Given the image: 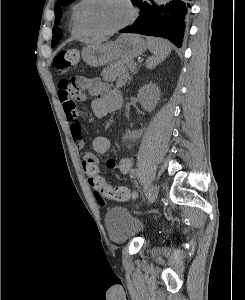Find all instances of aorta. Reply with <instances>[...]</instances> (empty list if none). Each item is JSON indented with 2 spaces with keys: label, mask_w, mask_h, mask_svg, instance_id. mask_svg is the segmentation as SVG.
Wrapping results in <instances>:
<instances>
[{
  "label": "aorta",
  "mask_w": 245,
  "mask_h": 300,
  "mask_svg": "<svg viewBox=\"0 0 245 300\" xmlns=\"http://www.w3.org/2000/svg\"><path fill=\"white\" fill-rule=\"evenodd\" d=\"M169 0H154L156 5H163L166 4Z\"/></svg>",
  "instance_id": "1"
}]
</instances>
